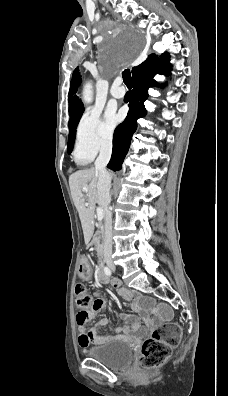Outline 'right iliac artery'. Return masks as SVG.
Returning a JSON list of instances; mask_svg holds the SVG:
<instances>
[{
    "label": "right iliac artery",
    "mask_w": 228,
    "mask_h": 396,
    "mask_svg": "<svg viewBox=\"0 0 228 396\" xmlns=\"http://www.w3.org/2000/svg\"><path fill=\"white\" fill-rule=\"evenodd\" d=\"M104 272H105V274H106L107 276H110V275H111V270H110L108 267H105V268H104Z\"/></svg>",
    "instance_id": "obj_1"
}]
</instances>
